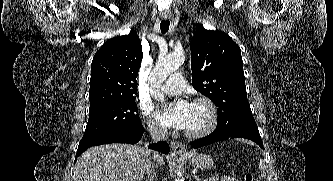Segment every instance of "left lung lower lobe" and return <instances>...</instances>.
<instances>
[{"mask_svg":"<svg viewBox=\"0 0 333 181\" xmlns=\"http://www.w3.org/2000/svg\"><path fill=\"white\" fill-rule=\"evenodd\" d=\"M235 127H236V123L234 120H231L229 118L218 119V124H217L216 129L210 135H208L202 139L191 142V146L193 148H200L202 146H205V145L217 142V141H222V140H226L229 138L243 137V138L254 141L262 149H264L261 137H255V136H251V135L235 133L234 132Z\"/></svg>","mask_w":333,"mask_h":181,"instance_id":"1","label":"left lung lower lobe"}]
</instances>
